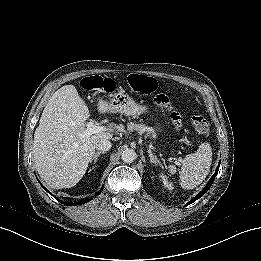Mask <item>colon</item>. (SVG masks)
Wrapping results in <instances>:
<instances>
[{
    "label": "colon",
    "instance_id": "1",
    "mask_svg": "<svg viewBox=\"0 0 261 261\" xmlns=\"http://www.w3.org/2000/svg\"><path fill=\"white\" fill-rule=\"evenodd\" d=\"M129 83L135 91L142 94H151L155 92L158 87L157 81L154 78L143 74H131L129 77ZM81 86L87 91H95L99 89L111 91L114 84L111 81H104L99 77H88L82 81ZM154 103L156 106L169 111L172 123L176 127H180L181 117L179 113L172 109L169 98L165 94H157L154 98ZM192 120L198 131L203 133L208 131L209 126L203 116L194 115Z\"/></svg>",
    "mask_w": 261,
    "mask_h": 261
}]
</instances>
